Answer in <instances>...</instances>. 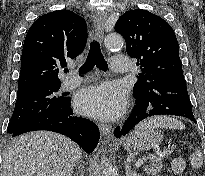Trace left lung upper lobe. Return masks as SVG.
Returning a JSON list of instances; mask_svg holds the SVG:
<instances>
[{"mask_svg":"<svg viewBox=\"0 0 205 176\" xmlns=\"http://www.w3.org/2000/svg\"><path fill=\"white\" fill-rule=\"evenodd\" d=\"M115 31L124 37L128 55L138 60L143 72L134 95L151 90L160 80L184 79L178 41L165 20L146 10H131L118 19Z\"/></svg>","mask_w":205,"mask_h":176,"instance_id":"5c2ea615","label":"left lung upper lobe"}]
</instances>
